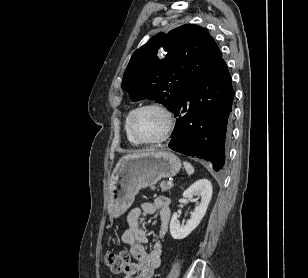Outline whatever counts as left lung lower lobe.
<instances>
[{
  "label": "left lung lower lobe",
  "mask_w": 308,
  "mask_h": 278,
  "mask_svg": "<svg viewBox=\"0 0 308 278\" xmlns=\"http://www.w3.org/2000/svg\"><path fill=\"white\" fill-rule=\"evenodd\" d=\"M233 99L232 79L221 59L190 87L172 111L177 120L169 147L212 162L215 171L222 169L231 134Z\"/></svg>",
  "instance_id": "left-lung-lower-lobe-1"
}]
</instances>
